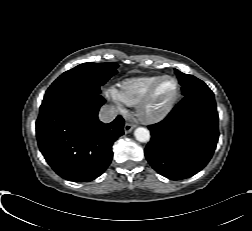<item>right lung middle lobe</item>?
I'll list each match as a JSON object with an SVG mask.
<instances>
[{
  "label": "right lung middle lobe",
  "mask_w": 252,
  "mask_h": 231,
  "mask_svg": "<svg viewBox=\"0 0 252 231\" xmlns=\"http://www.w3.org/2000/svg\"><path fill=\"white\" fill-rule=\"evenodd\" d=\"M117 67L115 63L80 64L58 77L46 91L44 100L70 91L95 90L100 93V86L116 74Z\"/></svg>",
  "instance_id": "right-lung-middle-lobe-1"
}]
</instances>
